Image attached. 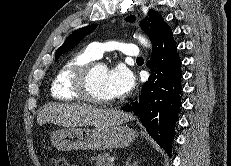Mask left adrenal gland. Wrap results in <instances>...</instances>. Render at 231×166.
<instances>
[{"label":"left adrenal gland","mask_w":231,"mask_h":166,"mask_svg":"<svg viewBox=\"0 0 231 166\" xmlns=\"http://www.w3.org/2000/svg\"><path fill=\"white\" fill-rule=\"evenodd\" d=\"M133 156H134V154L131 155V156H129V157L126 159L125 166H137V161H134V163L131 164V159H132Z\"/></svg>","instance_id":"obj_1"}]
</instances>
